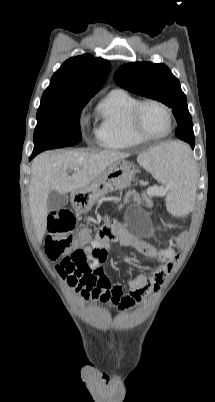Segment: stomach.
<instances>
[{
  "label": "stomach",
  "mask_w": 215,
  "mask_h": 402,
  "mask_svg": "<svg viewBox=\"0 0 215 402\" xmlns=\"http://www.w3.org/2000/svg\"><path fill=\"white\" fill-rule=\"evenodd\" d=\"M138 169L130 161L112 164L88 186L72 192V205L78 213H87L97 200L110 192L129 186Z\"/></svg>",
  "instance_id": "stomach-1"
}]
</instances>
